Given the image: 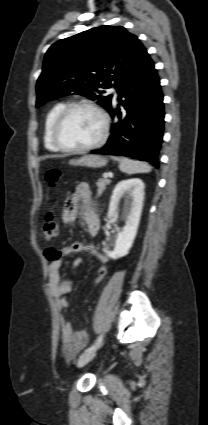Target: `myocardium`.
<instances>
[{"label":"myocardium","mask_w":208,"mask_h":425,"mask_svg":"<svg viewBox=\"0 0 208 425\" xmlns=\"http://www.w3.org/2000/svg\"><path fill=\"white\" fill-rule=\"evenodd\" d=\"M79 108H84V109H88L95 112L101 120L102 130H101L99 138L95 142L80 148L68 147L60 141L59 131L66 117L69 115V113ZM109 126H110L109 117L101 107L88 101H75L65 105L62 108V110L58 113L52 125L51 137H52L53 144L60 151L71 153V154L86 153L100 147L101 145L105 143L109 134Z\"/></svg>","instance_id":"1"}]
</instances>
